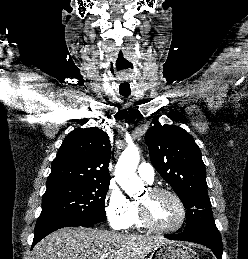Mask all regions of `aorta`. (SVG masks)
Here are the masks:
<instances>
[{
	"instance_id": "1",
	"label": "aorta",
	"mask_w": 248,
	"mask_h": 259,
	"mask_svg": "<svg viewBox=\"0 0 248 259\" xmlns=\"http://www.w3.org/2000/svg\"><path fill=\"white\" fill-rule=\"evenodd\" d=\"M140 154L136 146H128L119 157L115 167V179L129 196H136L143 190V181L137 176L136 169Z\"/></svg>"
}]
</instances>
